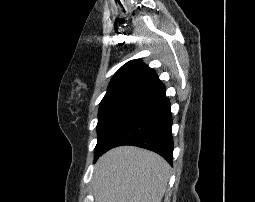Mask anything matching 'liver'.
Listing matches in <instances>:
<instances>
[{"label":"liver","instance_id":"liver-1","mask_svg":"<svg viewBox=\"0 0 255 202\" xmlns=\"http://www.w3.org/2000/svg\"><path fill=\"white\" fill-rule=\"evenodd\" d=\"M170 165L158 154L134 146L106 152L95 165V202H161Z\"/></svg>","mask_w":255,"mask_h":202}]
</instances>
